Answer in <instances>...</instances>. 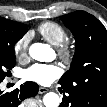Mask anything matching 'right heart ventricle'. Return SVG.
I'll list each match as a JSON object with an SVG mask.
<instances>
[{"instance_id": "obj_1", "label": "right heart ventricle", "mask_w": 107, "mask_h": 107, "mask_svg": "<svg viewBox=\"0 0 107 107\" xmlns=\"http://www.w3.org/2000/svg\"><path fill=\"white\" fill-rule=\"evenodd\" d=\"M39 34L54 46H59L67 39V31L56 22H44L38 27Z\"/></svg>"}]
</instances>
